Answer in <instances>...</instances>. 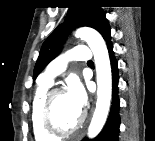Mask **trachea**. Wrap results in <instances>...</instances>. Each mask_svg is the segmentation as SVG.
Here are the masks:
<instances>
[{
  "label": "trachea",
  "instance_id": "trachea-1",
  "mask_svg": "<svg viewBox=\"0 0 155 141\" xmlns=\"http://www.w3.org/2000/svg\"><path fill=\"white\" fill-rule=\"evenodd\" d=\"M88 63H93V61H92V60H90V61H88Z\"/></svg>",
  "mask_w": 155,
  "mask_h": 141
}]
</instances>
